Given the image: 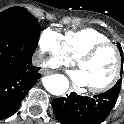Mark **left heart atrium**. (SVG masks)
<instances>
[{"label":"left heart atrium","instance_id":"obj_1","mask_svg":"<svg viewBox=\"0 0 124 124\" xmlns=\"http://www.w3.org/2000/svg\"><path fill=\"white\" fill-rule=\"evenodd\" d=\"M73 82L78 86H87L86 81L84 79V74L80 70L72 73L71 75Z\"/></svg>","mask_w":124,"mask_h":124}]
</instances>
